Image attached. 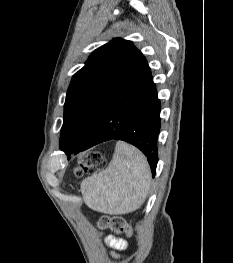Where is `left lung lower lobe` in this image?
I'll return each mask as SVG.
<instances>
[{"label":"left lung lower lobe","mask_w":233,"mask_h":263,"mask_svg":"<svg viewBox=\"0 0 233 263\" xmlns=\"http://www.w3.org/2000/svg\"><path fill=\"white\" fill-rule=\"evenodd\" d=\"M160 131V101L145 58L137 65L107 105L83 144H61L69 156L98 143L117 139L139 148L147 157L153 177L158 162L157 138Z\"/></svg>","instance_id":"0a47b994"}]
</instances>
